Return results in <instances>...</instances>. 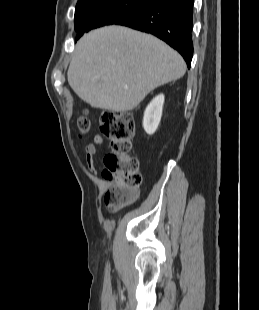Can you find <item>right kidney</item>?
<instances>
[{
	"label": "right kidney",
	"mask_w": 259,
	"mask_h": 310,
	"mask_svg": "<svg viewBox=\"0 0 259 310\" xmlns=\"http://www.w3.org/2000/svg\"><path fill=\"white\" fill-rule=\"evenodd\" d=\"M164 104V95L156 96L146 107L143 118V127L147 134L152 135L158 128Z\"/></svg>",
	"instance_id": "right-kidney-1"
}]
</instances>
